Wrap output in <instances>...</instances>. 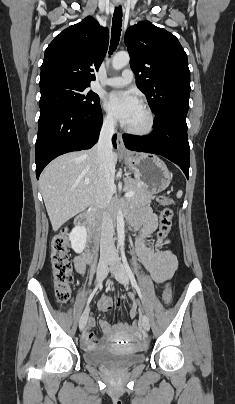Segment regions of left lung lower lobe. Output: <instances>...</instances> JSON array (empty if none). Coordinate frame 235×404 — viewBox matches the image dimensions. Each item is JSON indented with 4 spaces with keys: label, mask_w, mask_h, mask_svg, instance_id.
<instances>
[{
    "label": "left lung lower lobe",
    "mask_w": 235,
    "mask_h": 404,
    "mask_svg": "<svg viewBox=\"0 0 235 404\" xmlns=\"http://www.w3.org/2000/svg\"><path fill=\"white\" fill-rule=\"evenodd\" d=\"M125 147L138 152L154 153L177 164L189 178L190 148L186 116L170 114L155 120L148 136L123 135Z\"/></svg>",
    "instance_id": "left-lung-lower-lobe-1"
}]
</instances>
